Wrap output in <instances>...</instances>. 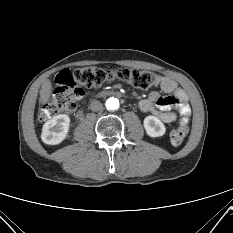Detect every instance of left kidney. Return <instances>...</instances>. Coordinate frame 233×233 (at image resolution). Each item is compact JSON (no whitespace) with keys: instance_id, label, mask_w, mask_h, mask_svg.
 <instances>
[{"instance_id":"left-kidney-1","label":"left kidney","mask_w":233,"mask_h":233,"mask_svg":"<svg viewBox=\"0 0 233 233\" xmlns=\"http://www.w3.org/2000/svg\"><path fill=\"white\" fill-rule=\"evenodd\" d=\"M144 128L150 137H160L166 132L163 122L155 116H147L144 119Z\"/></svg>"}]
</instances>
